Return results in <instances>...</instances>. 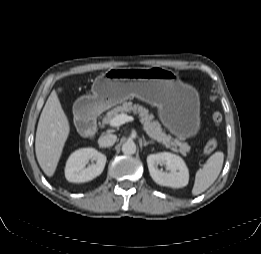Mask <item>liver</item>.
<instances>
[{
  "instance_id": "liver-1",
  "label": "liver",
  "mask_w": 261,
  "mask_h": 254,
  "mask_svg": "<svg viewBox=\"0 0 261 254\" xmlns=\"http://www.w3.org/2000/svg\"><path fill=\"white\" fill-rule=\"evenodd\" d=\"M69 133L68 118L53 90L40 115L35 138L37 161L48 177H52L56 171Z\"/></svg>"
}]
</instances>
